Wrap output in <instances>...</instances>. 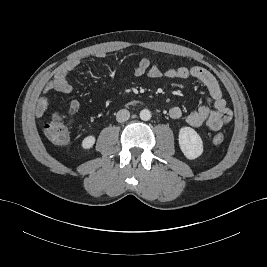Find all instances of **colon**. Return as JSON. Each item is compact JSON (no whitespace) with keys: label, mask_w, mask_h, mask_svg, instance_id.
I'll return each instance as SVG.
<instances>
[{"label":"colon","mask_w":267,"mask_h":267,"mask_svg":"<svg viewBox=\"0 0 267 267\" xmlns=\"http://www.w3.org/2000/svg\"><path fill=\"white\" fill-rule=\"evenodd\" d=\"M46 137L54 144L63 145L69 141V121L61 114H55L43 126ZM224 141V136L221 133L213 137L215 144H221Z\"/></svg>","instance_id":"1"}]
</instances>
